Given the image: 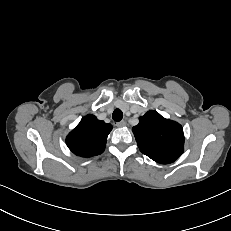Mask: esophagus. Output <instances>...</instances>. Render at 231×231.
Returning <instances> with one entry per match:
<instances>
[{
	"label": "esophagus",
	"mask_w": 231,
	"mask_h": 231,
	"mask_svg": "<svg viewBox=\"0 0 231 231\" xmlns=\"http://www.w3.org/2000/svg\"><path fill=\"white\" fill-rule=\"evenodd\" d=\"M125 125H126V122L124 120L116 123L117 127H124Z\"/></svg>",
	"instance_id": "1"
}]
</instances>
